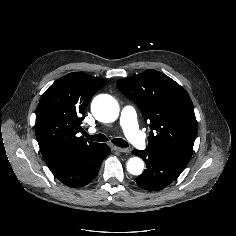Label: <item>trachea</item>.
<instances>
[{
	"label": "trachea",
	"mask_w": 236,
	"mask_h": 236,
	"mask_svg": "<svg viewBox=\"0 0 236 236\" xmlns=\"http://www.w3.org/2000/svg\"><path fill=\"white\" fill-rule=\"evenodd\" d=\"M84 136L91 141H98V142L108 141V138L104 134L89 135L85 133ZM111 141L114 145L118 147H122V148L128 147V143L122 138H114Z\"/></svg>",
	"instance_id": "1"
}]
</instances>
